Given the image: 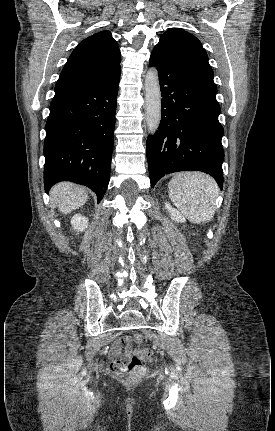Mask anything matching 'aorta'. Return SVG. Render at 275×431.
I'll list each match as a JSON object with an SVG mask.
<instances>
[{
    "label": "aorta",
    "instance_id": "762f6f07",
    "mask_svg": "<svg viewBox=\"0 0 275 431\" xmlns=\"http://www.w3.org/2000/svg\"><path fill=\"white\" fill-rule=\"evenodd\" d=\"M146 124L150 134H155L161 121V91L158 71L155 67L145 76Z\"/></svg>",
    "mask_w": 275,
    "mask_h": 431
}]
</instances>
